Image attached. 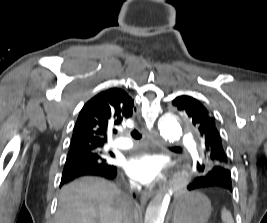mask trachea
<instances>
[{
  "mask_svg": "<svg viewBox=\"0 0 267 223\" xmlns=\"http://www.w3.org/2000/svg\"><path fill=\"white\" fill-rule=\"evenodd\" d=\"M131 136L136 140L141 139L142 137L141 133H139V131L136 129L131 132Z\"/></svg>",
  "mask_w": 267,
  "mask_h": 223,
  "instance_id": "obj_1",
  "label": "trachea"
}]
</instances>
